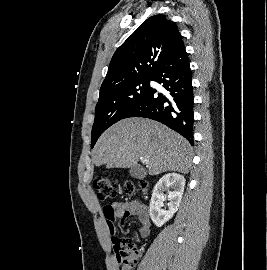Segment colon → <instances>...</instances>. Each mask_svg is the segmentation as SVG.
I'll list each match as a JSON object with an SVG mask.
<instances>
[{"label":"colon","instance_id":"1","mask_svg":"<svg viewBox=\"0 0 267 270\" xmlns=\"http://www.w3.org/2000/svg\"><path fill=\"white\" fill-rule=\"evenodd\" d=\"M93 186L98 198L103 202L115 198L119 193V187L104 176L96 177ZM123 190L132 194L136 191V185L128 182L123 186ZM113 244L120 270H134L139 257L135 240L126 236L114 237Z\"/></svg>","mask_w":267,"mask_h":270}]
</instances>
